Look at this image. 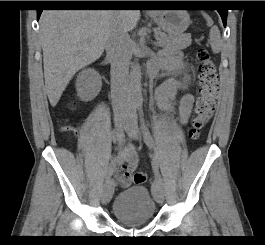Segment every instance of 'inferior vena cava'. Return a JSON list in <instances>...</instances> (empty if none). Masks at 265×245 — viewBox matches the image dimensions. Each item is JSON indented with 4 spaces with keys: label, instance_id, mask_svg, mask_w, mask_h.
Masks as SVG:
<instances>
[{
    "label": "inferior vena cava",
    "instance_id": "602c4592",
    "mask_svg": "<svg viewBox=\"0 0 265 245\" xmlns=\"http://www.w3.org/2000/svg\"><path fill=\"white\" fill-rule=\"evenodd\" d=\"M130 38L126 30L115 24L107 34L106 53L111 62V96L115 116L131 109L129 93Z\"/></svg>",
    "mask_w": 265,
    "mask_h": 245
}]
</instances>
